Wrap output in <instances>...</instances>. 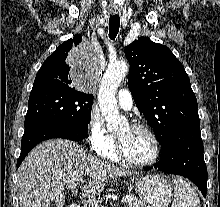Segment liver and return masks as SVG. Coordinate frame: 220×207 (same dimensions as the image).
<instances>
[{
    "instance_id": "6515ba94",
    "label": "liver",
    "mask_w": 220,
    "mask_h": 207,
    "mask_svg": "<svg viewBox=\"0 0 220 207\" xmlns=\"http://www.w3.org/2000/svg\"><path fill=\"white\" fill-rule=\"evenodd\" d=\"M132 174L100 161L75 142L48 140L33 148L18 169L20 207H64L62 192L69 184H78L84 196L94 197L110 178Z\"/></svg>"
}]
</instances>
